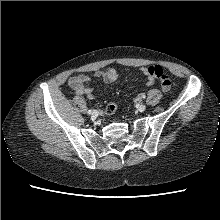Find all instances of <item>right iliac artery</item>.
<instances>
[{
  "label": "right iliac artery",
  "instance_id": "82829eb1",
  "mask_svg": "<svg viewBox=\"0 0 220 220\" xmlns=\"http://www.w3.org/2000/svg\"><path fill=\"white\" fill-rule=\"evenodd\" d=\"M88 114H91L92 113V110H88V112H87Z\"/></svg>",
  "mask_w": 220,
  "mask_h": 220
}]
</instances>
